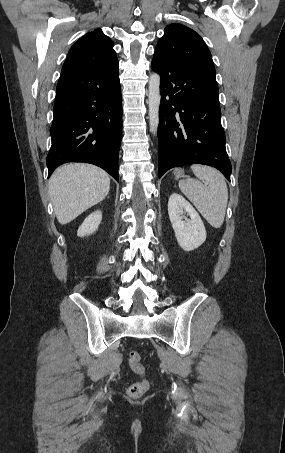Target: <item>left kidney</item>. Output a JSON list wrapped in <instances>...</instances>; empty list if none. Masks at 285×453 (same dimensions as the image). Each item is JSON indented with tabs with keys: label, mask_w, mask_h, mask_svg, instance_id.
I'll return each instance as SVG.
<instances>
[{
	"label": "left kidney",
	"mask_w": 285,
	"mask_h": 453,
	"mask_svg": "<svg viewBox=\"0 0 285 453\" xmlns=\"http://www.w3.org/2000/svg\"><path fill=\"white\" fill-rule=\"evenodd\" d=\"M190 217L183 220V214ZM168 214L180 247L191 251L206 240V230L201 217L193 206L180 194L173 193L168 201Z\"/></svg>",
	"instance_id": "1"
}]
</instances>
